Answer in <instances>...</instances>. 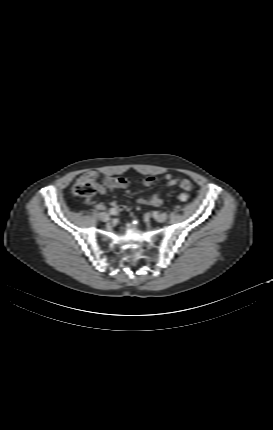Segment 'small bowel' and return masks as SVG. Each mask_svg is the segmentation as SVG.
<instances>
[{
	"mask_svg": "<svg viewBox=\"0 0 273 430\" xmlns=\"http://www.w3.org/2000/svg\"><path fill=\"white\" fill-rule=\"evenodd\" d=\"M91 174L95 177V179H99L102 177V184L98 186V192L100 194H105L107 189L114 191L119 189H126L129 186V181L125 177H113L108 175L102 176L100 173H97V172H93ZM164 179L166 181V187L179 185L180 188H182L181 187L182 183L184 181H188L186 179H179L177 177H174L169 173L164 176ZM154 182H155V178L152 176H149L142 180V185L145 187H149L152 184H154ZM137 203L140 205L160 206L162 204V199L160 198L159 194H153L146 198H138ZM84 204L88 206L93 205L91 201H85ZM96 208L103 209L104 206L103 204H97ZM112 208H115L118 211H123L127 209L126 205L117 203V202L113 203Z\"/></svg>",
	"mask_w": 273,
	"mask_h": 430,
	"instance_id": "c3829d8e",
	"label": "small bowel"
}]
</instances>
